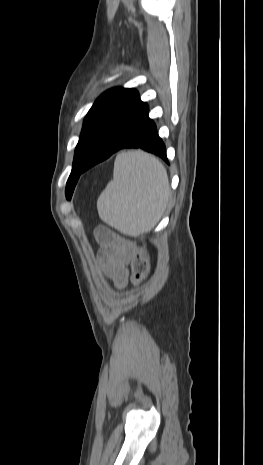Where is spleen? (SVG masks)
<instances>
[{"label": "spleen", "mask_w": 263, "mask_h": 465, "mask_svg": "<svg viewBox=\"0 0 263 465\" xmlns=\"http://www.w3.org/2000/svg\"><path fill=\"white\" fill-rule=\"evenodd\" d=\"M169 195L167 172L158 159L141 151L122 152L97 209L106 224L125 235L138 236L159 221Z\"/></svg>", "instance_id": "1"}]
</instances>
